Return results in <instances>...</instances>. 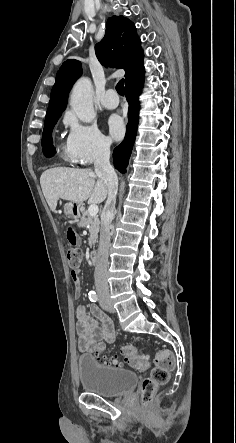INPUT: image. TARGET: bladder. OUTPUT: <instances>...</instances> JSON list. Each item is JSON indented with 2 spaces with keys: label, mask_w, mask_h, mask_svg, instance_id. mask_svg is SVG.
<instances>
[{
  "label": "bladder",
  "mask_w": 236,
  "mask_h": 443,
  "mask_svg": "<svg viewBox=\"0 0 236 443\" xmlns=\"http://www.w3.org/2000/svg\"><path fill=\"white\" fill-rule=\"evenodd\" d=\"M77 370L85 392L106 398L119 397L131 391L137 381L134 372L101 364L93 355L79 356Z\"/></svg>",
  "instance_id": "1"
}]
</instances>
